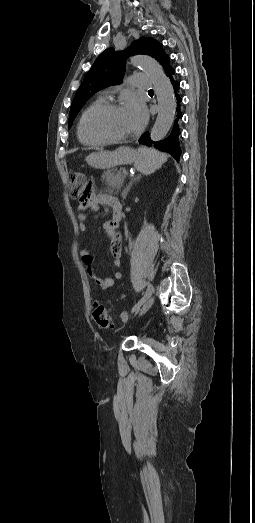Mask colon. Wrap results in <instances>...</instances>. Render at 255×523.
Instances as JSON below:
<instances>
[{"label":"colon","mask_w":255,"mask_h":523,"mask_svg":"<svg viewBox=\"0 0 255 523\" xmlns=\"http://www.w3.org/2000/svg\"><path fill=\"white\" fill-rule=\"evenodd\" d=\"M71 197L74 199L85 200L89 197V189L86 177L83 173L74 172L70 177ZM93 317L96 324L104 329L113 328L111 314L107 307L102 304H95L93 308Z\"/></svg>","instance_id":"5ec220e1"}]
</instances>
